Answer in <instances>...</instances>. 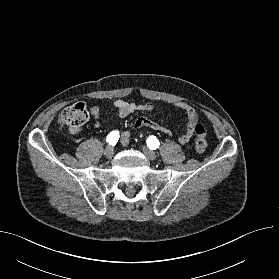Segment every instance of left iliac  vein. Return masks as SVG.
Wrapping results in <instances>:
<instances>
[{
	"label": "left iliac vein",
	"instance_id": "1",
	"mask_svg": "<svg viewBox=\"0 0 279 279\" xmlns=\"http://www.w3.org/2000/svg\"><path fill=\"white\" fill-rule=\"evenodd\" d=\"M142 152H143V153L145 154V156H146L147 158H149L150 160H155L156 157H157L156 152H154L153 150H151V149H149V148H147V147H145V146L142 147Z\"/></svg>",
	"mask_w": 279,
	"mask_h": 279
}]
</instances>
